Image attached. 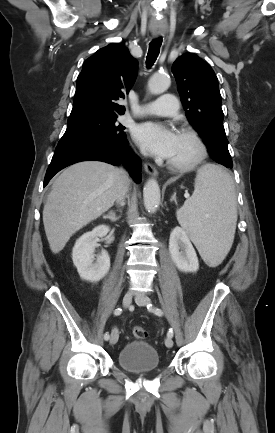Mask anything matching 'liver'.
Wrapping results in <instances>:
<instances>
[{"label": "liver", "mask_w": 275, "mask_h": 433, "mask_svg": "<svg viewBox=\"0 0 275 433\" xmlns=\"http://www.w3.org/2000/svg\"><path fill=\"white\" fill-rule=\"evenodd\" d=\"M128 177L104 162L84 161L65 169L53 182L43 209L51 251L59 253L70 237L121 200Z\"/></svg>", "instance_id": "liver-1"}]
</instances>
